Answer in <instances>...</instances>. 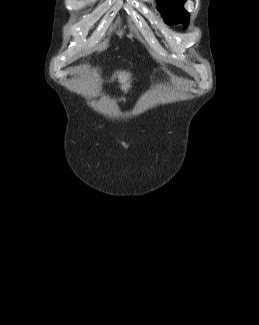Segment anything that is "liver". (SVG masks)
Instances as JSON below:
<instances>
[{"label":"liver","instance_id":"1","mask_svg":"<svg viewBox=\"0 0 259 325\" xmlns=\"http://www.w3.org/2000/svg\"><path fill=\"white\" fill-rule=\"evenodd\" d=\"M116 76V75H115ZM130 74L127 72H117V77L121 83V88L126 92L130 87Z\"/></svg>","mask_w":259,"mask_h":325}]
</instances>
